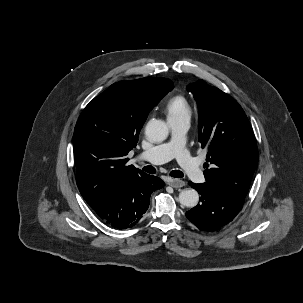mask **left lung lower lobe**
I'll use <instances>...</instances> for the list:
<instances>
[{"label": "left lung lower lobe", "instance_id": "1", "mask_svg": "<svg viewBox=\"0 0 303 303\" xmlns=\"http://www.w3.org/2000/svg\"><path fill=\"white\" fill-rule=\"evenodd\" d=\"M189 185L201 195L200 203L186 212V217L200 230L213 231L233 220L240 212L244 201L226 190L207 183Z\"/></svg>", "mask_w": 303, "mask_h": 303}]
</instances>
